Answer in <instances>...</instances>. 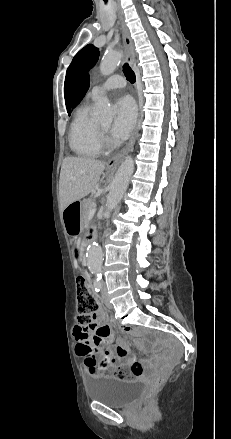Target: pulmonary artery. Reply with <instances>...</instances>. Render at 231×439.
I'll use <instances>...</instances> for the list:
<instances>
[{
  "instance_id": "1",
  "label": "pulmonary artery",
  "mask_w": 231,
  "mask_h": 439,
  "mask_svg": "<svg viewBox=\"0 0 231 439\" xmlns=\"http://www.w3.org/2000/svg\"><path fill=\"white\" fill-rule=\"evenodd\" d=\"M126 84L124 77L121 75H112L108 77L103 83L92 88L89 93L91 99H96L102 94L113 89L122 88Z\"/></svg>"
}]
</instances>
